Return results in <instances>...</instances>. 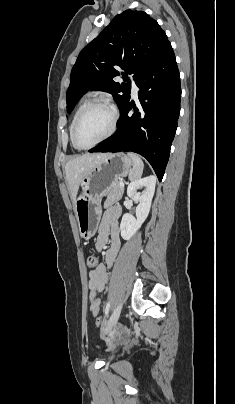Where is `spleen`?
<instances>
[{"instance_id":"3e777b00","label":"spleen","mask_w":235,"mask_h":404,"mask_svg":"<svg viewBox=\"0 0 235 404\" xmlns=\"http://www.w3.org/2000/svg\"><path fill=\"white\" fill-rule=\"evenodd\" d=\"M128 156L133 161V168L129 173V179L131 181H134L141 177L143 168H144V164H143V161L141 160V158L139 157V155L130 152V153H128Z\"/></svg>"}]
</instances>
